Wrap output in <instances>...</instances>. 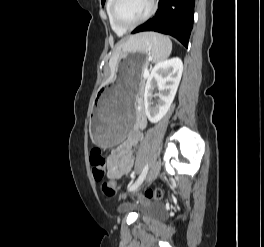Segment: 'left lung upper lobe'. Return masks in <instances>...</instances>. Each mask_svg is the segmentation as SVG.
<instances>
[{
  "mask_svg": "<svg viewBox=\"0 0 264 247\" xmlns=\"http://www.w3.org/2000/svg\"><path fill=\"white\" fill-rule=\"evenodd\" d=\"M105 0H102V4H104Z\"/></svg>",
  "mask_w": 264,
  "mask_h": 247,
  "instance_id": "left-lung-upper-lobe-1",
  "label": "left lung upper lobe"
}]
</instances>
